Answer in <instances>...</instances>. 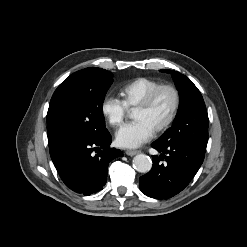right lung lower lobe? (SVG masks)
I'll return each instance as SVG.
<instances>
[{"label":"right lung lower lobe","mask_w":247,"mask_h":247,"mask_svg":"<svg viewBox=\"0 0 247 247\" xmlns=\"http://www.w3.org/2000/svg\"><path fill=\"white\" fill-rule=\"evenodd\" d=\"M111 139L107 130L96 138L76 139L50 149L54 166L68 188L84 195L103 189L109 162L123 156L120 150L110 148Z\"/></svg>","instance_id":"right-lung-lower-lobe-1"}]
</instances>
